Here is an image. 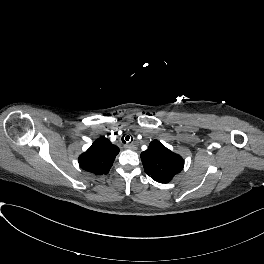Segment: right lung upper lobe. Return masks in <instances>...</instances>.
Masks as SVG:
<instances>
[{"label": "right lung upper lobe", "mask_w": 264, "mask_h": 264, "mask_svg": "<svg viewBox=\"0 0 264 264\" xmlns=\"http://www.w3.org/2000/svg\"><path fill=\"white\" fill-rule=\"evenodd\" d=\"M118 153L119 148L117 146L105 137H101L79 156V165L83 170L95 175L107 174Z\"/></svg>", "instance_id": "cb5924a9"}]
</instances>
